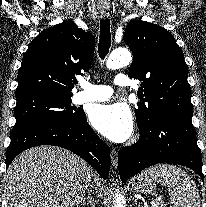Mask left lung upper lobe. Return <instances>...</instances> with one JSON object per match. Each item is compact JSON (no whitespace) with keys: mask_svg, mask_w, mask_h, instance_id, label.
I'll return each mask as SVG.
<instances>
[{"mask_svg":"<svg viewBox=\"0 0 206 207\" xmlns=\"http://www.w3.org/2000/svg\"><path fill=\"white\" fill-rule=\"evenodd\" d=\"M124 42L133 52L129 76L142 81V102L135 109L139 128L150 127L160 114L193 115L187 65L171 33L134 20L125 29Z\"/></svg>","mask_w":206,"mask_h":207,"instance_id":"obj_1","label":"left lung upper lobe"}]
</instances>
